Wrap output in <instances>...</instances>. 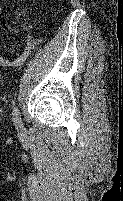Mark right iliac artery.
<instances>
[{"mask_svg":"<svg viewBox=\"0 0 123 201\" xmlns=\"http://www.w3.org/2000/svg\"><path fill=\"white\" fill-rule=\"evenodd\" d=\"M13 122L17 129H20L22 127V121L17 107H15L13 110Z\"/></svg>","mask_w":123,"mask_h":201,"instance_id":"obj_1","label":"right iliac artery"}]
</instances>
